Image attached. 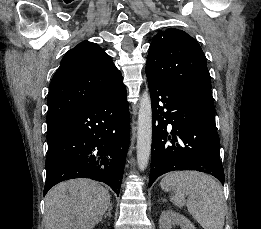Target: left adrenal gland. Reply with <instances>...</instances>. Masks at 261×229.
I'll use <instances>...</instances> for the list:
<instances>
[{
	"instance_id": "obj_1",
	"label": "left adrenal gland",
	"mask_w": 261,
	"mask_h": 229,
	"mask_svg": "<svg viewBox=\"0 0 261 229\" xmlns=\"http://www.w3.org/2000/svg\"><path fill=\"white\" fill-rule=\"evenodd\" d=\"M166 199H162V203H165Z\"/></svg>"
}]
</instances>
